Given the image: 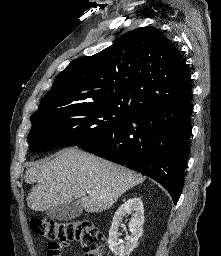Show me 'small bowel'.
<instances>
[{
  "label": "small bowel",
  "instance_id": "small-bowel-1",
  "mask_svg": "<svg viewBox=\"0 0 221 256\" xmlns=\"http://www.w3.org/2000/svg\"><path fill=\"white\" fill-rule=\"evenodd\" d=\"M47 256H61V253L60 254H50L48 251Z\"/></svg>",
  "mask_w": 221,
  "mask_h": 256
}]
</instances>
